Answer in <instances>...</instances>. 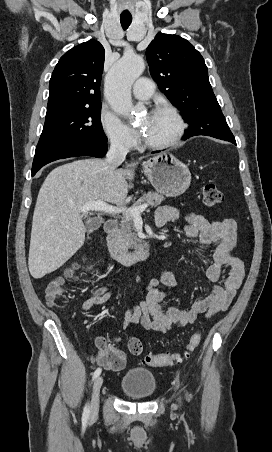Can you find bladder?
I'll return each mask as SVG.
<instances>
[{"mask_svg":"<svg viewBox=\"0 0 272 452\" xmlns=\"http://www.w3.org/2000/svg\"><path fill=\"white\" fill-rule=\"evenodd\" d=\"M120 389L131 399H146L153 396L157 390L154 374L142 367H132L122 376Z\"/></svg>","mask_w":272,"mask_h":452,"instance_id":"31cf9c89","label":"bladder"}]
</instances>
